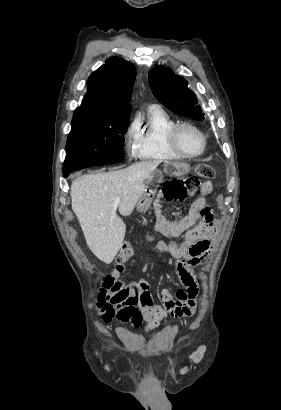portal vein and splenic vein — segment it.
Listing matches in <instances>:
<instances>
[{
	"instance_id": "obj_1",
	"label": "portal vein and splenic vein",
	"mask_w": 281,
	"mask_h": 410,
	"mask_svg": "<svg viewBox=\"0 0 281 410\" xmlns=\"http://www.w3.org/2000/svg\"><path fill=\"white\" fill-rule=\"evenodd\" d=\"M120 202H121V199H120V198H116L115 201H114V205H115V206H118V205L120 204Z\"/></svg>"
}]
</instances>
